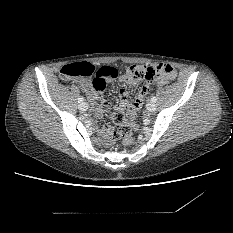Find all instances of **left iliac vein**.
<instances>
[{"label":"left iliac vein","mask_w":233,"mask_h":233,"mask_svg":"<svg viewBox=\"0 0 233 233\" xmlns=\"http://www.w3.org/2000/svg\"><path fill=\"white\" fill-rule=\"evenodd\" d=\"M147 110L149 112H154L156 110V105L154 103L147 104Z\"/></svg>","instance_id":"left-iliac-vein-1"}]
</instances>
